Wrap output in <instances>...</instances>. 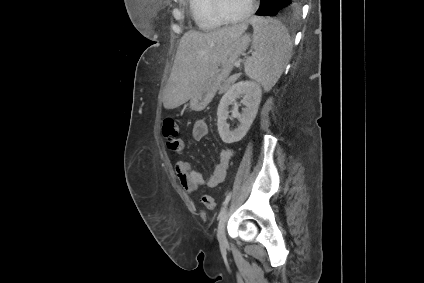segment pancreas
<instances>
[{
  "label": "pancreas",
  "mask_w": 424,
  "mask_h": 283,
  "mask_svg": "<svg viewBox=\"0 0 424 283\" xmlns=\"http://www.w3.org/2000/svg\"><path fill=\"white\" fill-rule=\"evenodd\" d=\"M240 77V74H235L227 78L224 83L219 87V94L226 92L230 86Z\"/></svg>",
  "instance_id": "obj_1"
}]
</instances>
